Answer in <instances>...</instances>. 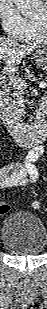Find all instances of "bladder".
<instances>
[{
  "mask_svg": "<svg viewBox=\"0 0 47 309\" xmlns=\"http://www.w3.org/2000/svg\"><path fill=\"white\" fill-rule=\"evenodd\" d=\"M1 241L13 255H39L46 248L47 232L40 218L29 212L17 211L4 220Z\"/></svg>",
  "mask_w": 47,
  "mask_h": 309,
  "instance_id": "1",
  "label": "bladder"
}]
</instances>
